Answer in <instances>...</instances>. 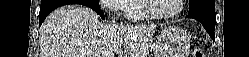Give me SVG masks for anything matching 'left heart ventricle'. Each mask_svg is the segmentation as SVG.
I'll return each mask as SVG.
<instances>
[{"mask_svg":"<svg viewBox=\"0 0 249 57\" xmlns=\"http://www.w3.org/2000/svg\"><path fill=\"white\" fill-rule=\"evenodd\" d=\"M151 6L155 13L167 14L177 9L178 0H152Z\"/></svg>","mask_w":249,"mask_h":57,"instance_id":"left-heart-ventricle-1","label":"left heart ventricle"}]
</instances>
